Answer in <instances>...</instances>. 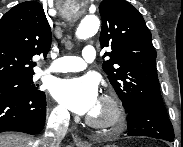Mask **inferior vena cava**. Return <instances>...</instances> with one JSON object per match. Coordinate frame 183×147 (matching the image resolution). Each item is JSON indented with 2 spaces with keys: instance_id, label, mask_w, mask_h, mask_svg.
<instances>
[{
  "instance_id": "1",
  "label": "inferior vena cava",
  "mask_w": 183,
  "mask_h": 147,
  "mask_svg": "<svg viewBox=\"0 0 183 147\" xmlns=\"http://www.w3.org/2000/svg\"><path fill=\"white\" fill-rule=\"evenodd\" d=\"M69 113L65 109L58 110L49 120L43 137L35 142L34 147H59L67 133Z\"/></svg>"
}]
</instances>
